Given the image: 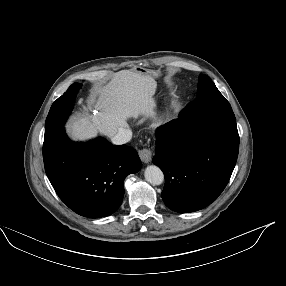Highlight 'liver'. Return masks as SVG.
I'll use <instances>...</instances> for the list:
<instances>
[{
  "instance_id": "6515ba94",
  "label": "liver",
  "mask_w": 286,
  "mask_h": 286,
  "mask_svg": "<svg viewBox=\"0 0 286 286\" xmlns=\"http://www.w3.org/2000/svg\"><path fill=\"white\" fill-rule=\"evenodd\" d=\"M157 83L152 75L136 70H122L112 80L95 91L96 115L81 116L69 125L71 135L86 140L100 133L112 137L120 128L128 127L126 119L154 115L156 106L153 95Z\"/></svg>"
}]
</instances>
